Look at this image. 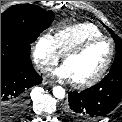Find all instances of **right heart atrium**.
<instances>
[{
    "mask_svg": "<svg viewBox=\"0 0 122 122\" xmlns=\"http://www.w3.org/2000/svg\"><path fill=\"white\" fill-rule=\"evenodd\" d=\"M61 54L56 48L53 36L50 34L41 35L33 48V58L37 68L45 72L52 65L57 63Z\"/></svg>",
    "mask_w": 122,
    "mask_h": 122,
    "instance_id": "d8ad5b80",
    "label": "right heart atrium"
}]
</instances>
